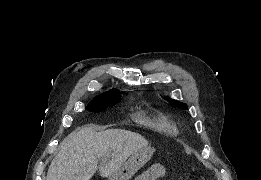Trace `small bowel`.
<instances>
[{
  "instance_id": "small-bowel-1",
  "label": "small bowel",
  "mask_w": 261,
  "mask_h": 180,
  "mask_svg": "<svg viewBox=\"0 0 261 180\" xmlns=\"http://www.w3.org/2000/svg\"><path fill=\"white\" fill-rule=\"evenodd\" d=\"M166 175L165 167L156 163L150 166L147 170L139 174L138 180H158Z\"/></svg>"
}]
</instances>
